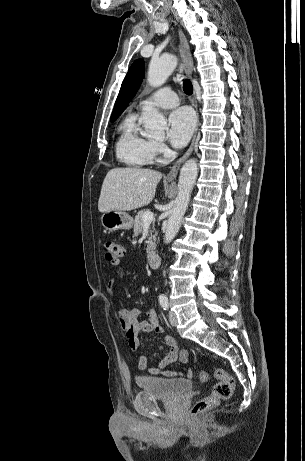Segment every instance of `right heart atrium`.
Wrapping results in <instances>:
<instances>
[{
	"label": "right heart atrium",
	"mask_w": 305,
	"mask_h": 461,
	"mask_svg": "<svg viewBox=\"0 0 305 461\" xmlns=\"http://www.w3.org/2000/svg\"><path fill=\"white\" fill-rule=\"evenodd\" d=\"M155 155H163L167 148L162 142H154Z\"/></svg>",
	"instance_id": "right-heart-atrium-1"
}]
</instances>
